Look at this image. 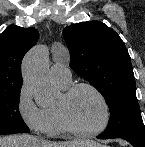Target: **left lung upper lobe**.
<instances>
[{"instance_id": "obj_1", "label": "left lung upper lobe", "mask_w": 145, "mask_h": 147, "mask_svg": "<svg viewBox=\"0 0 145 147\" xmlns=\"http://www.w3.org/2000/svg\"><path fill=\"white\" fill-rule=\"evenodd\" d=\"M70 67L104 96L111 118L102 135L145 141L129 53L119 35L99 21L63 30Z\"/></svg>"}]
</instances>
